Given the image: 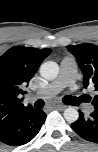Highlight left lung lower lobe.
Instances as JSON below:
<instances>
[{
	"label": "left lung lower lobe",
	"mask_w": 98,
	"mask_h": 152,
	"mask_svg": "<svg viewBox=\"0 0 98 152\" xmlns=\"http://www.w3.org/2000/svg\"><path fill=\"white\" fill-rule=\"evenodd\" d=\"M72 129L82 138L97 142L98 141V110H94L89 116H85L79 111V118L71 124Z\"/></svg>",
	"instance_id": "obj_1"
}]
</instances>
